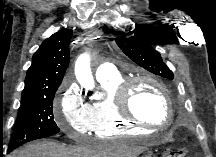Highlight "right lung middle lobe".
<instances>
[{
  "instance_id": "obj_1",
  "label": "right lung middle lobe",
  "mask_w": 216,
  "mask_h": 157,
  "mask_svg": "<svg viewBox=\"0 0 216 157\" xmlns=\"http://www.w3.org/2000/svg\"><path fill=\"white\" fill-rule=\"evenodd\" d=\"M56 90L21 98L18 117L9 148L57 134L60 129L53 116V99Z\"/></svg>"
}]
</instances>
